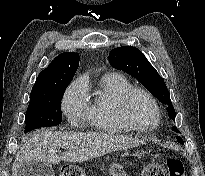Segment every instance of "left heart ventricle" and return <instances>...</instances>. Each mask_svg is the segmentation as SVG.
Here are the masks:
<instances>
[{"instance_id":"left-heart-ventricle-1","label":"left heart ventricle","mask_w":205,"mask_h":176,"mask_svg":"<svg viewBox=\"0 0 205 176\" xmlns=\"http://www.w3.org/2000/svg\"><path fill=\"white\" fill-rule=\"evenodd\" d=\"M129 115L138 125L151 126L156 122V112L143 95H136L129 103Z\"/></svg>"}]
</instances>
